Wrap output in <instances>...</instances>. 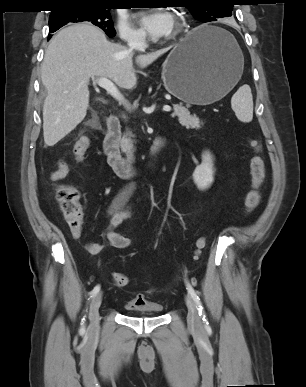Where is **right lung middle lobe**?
<instances>
[{
    "label": "right lung middle lobe",
    "mask_w": 306,
    "mask_h": 387,
    "mask_svg": "<svg viewBox=\"0 0 306 387\" xmlns=\"http://www.w3.org/2000/svg\"><path fill=\"white\" fill-rule=\"evenodd\" d=\"M105 7L101 6H71L52 12L49 16L50 33L55 32L69 22L89 21L100 27L112 37L116 34L111 15Z\"/></svg>",
    "instance_id": "1"
}]
</instances>
